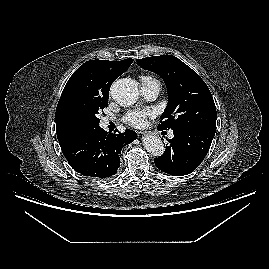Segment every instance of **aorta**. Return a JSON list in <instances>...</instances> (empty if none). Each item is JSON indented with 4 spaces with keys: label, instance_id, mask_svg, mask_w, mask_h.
<instances>
[{
    "label": "aorta",
    "instance_id": "762f6f07",
    "mask_svg": "<svg viewBox=\"0 0 269 269\" xmlns=\"http://www.w3.org/2000/svg\"><path fill=\"white\" fill-rule=\"evenodd\" d=\"M111 96L121 106H130L138 99V84L136 81L129 78L119 79L111 86ZM143 145L147 152L155 157H159L165 152L162 140L154 135L144 136Z\"/></svg>",
    "mask_w": 269,
    "mask_h": 269
}]
</instances>
